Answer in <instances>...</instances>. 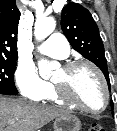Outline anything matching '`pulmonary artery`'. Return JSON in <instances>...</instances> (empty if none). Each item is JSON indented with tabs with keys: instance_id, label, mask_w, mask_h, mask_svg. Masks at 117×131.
<instances>
[{
	"instance_id": "pulmonary-artery-1",
	"label": "pulmonary artery",
	"mask_w": 117,
	"mask_h": 131,
	"mask_svg": "<svg viewBox=\"0 0 117 131\" xmlns=\"http://www.w3.org/2000/svg\"><path fill=\"white\" fill-rule=\"evenodd\" d=\"M37 49L44 55L58 59L68 57L70 50L66 38L60 33H53Z\"/></svg>"
}]
</instances>
